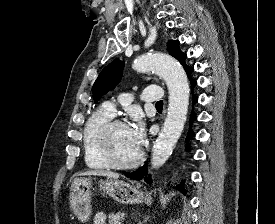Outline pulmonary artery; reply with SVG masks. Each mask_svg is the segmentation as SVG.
Returning <instances> with one entry per match:
<instances>
[{
    "label": "pulmonary artery",
    "instance_id": "pulmonary-artery-1",
    "mask_svg": "<svg viewBox=\"0 0 275 224\" xmlns=\"http://www.w3.org/2000/svg\"><path fill=\"white\" fill-rule=\"evenodd\" d=\"M140 99L143 101H160L163 97V91L159 87H146L139 93ZM121 102L122 104H127L130 101V95L125 94L120 96L119 99H112L103 103V109L109 113L111 116L114 114L116 102Z\"/></svg>",
    "mask_w": 275,
    "mask_h": 224
}]
</instances>
